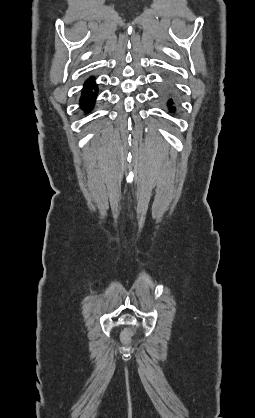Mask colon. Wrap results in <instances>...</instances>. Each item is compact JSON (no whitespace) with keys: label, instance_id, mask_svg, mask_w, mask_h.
Wrapping results in <instances>:
<instances>
[{"label":"colon","instance_id":"colon-1","mask_svg":"<svg viewBox=\"0 0 255 418\" xmlns=\"http://www.w3.org/2000/svg\"><path fill=\"white\" fill-rule=\"evenodd\" d=\"M135 334V331L133 328H127L121 333V342L124 345H130L132 338Z\"/></svg>","mask_w":255,"mask_h":418}]
</instances>
